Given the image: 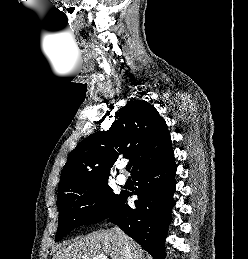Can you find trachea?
<instances>
[{
  "instance_id": "3493384b",
  "label": "trachea",
  "mask_w": 248,
  "mask_h": 259,
  "mask_svg": "<svg viewBox=\"0 0 248 259\" xmlns=\"http://www.w3.org/2000/svg\"><path fill=\"white\" fill-rule=\"evenodd\" d=\"M130 169H131V164H128V165L126 166V170L129 171Z\"/></svg>"
}]
</instances>
